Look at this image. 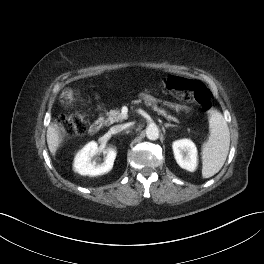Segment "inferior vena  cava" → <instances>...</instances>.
<instances>
[{
	"instance_id": "602c4592",
	"label": "inferior vena cava",
	"mask_w": 264,
	"mask_h": 264,
	"mask_svg": "<svg viewBox=\"0 0 264 264\" xmlns=\"http://www.w3.org/2000/svg\"><path fill=\"white\" fill-rule=\"evenodd\" d=\"M124 128H125L124 125H117V126L112 127V128L110 129V132H111L112 134H116V133H118V132H121Z\"/></svg>"
}]
</instances>
